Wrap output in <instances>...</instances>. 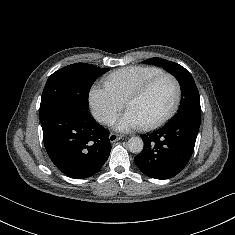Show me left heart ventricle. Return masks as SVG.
<instances>
[{
	"instance_id": "left-heart-ventricle-1",
	"label": "left heart ventricle",
	"mask_w": 235,
	"mask_h": 235,
	"mask_svg": "<svg viewBox=\"0 0 235 235\" xmlns=\"http://www.w3.org/2000/svg\"><path fill=\"white\" fill-rule=\"evenodd\" d=\"M175 99V86L170 79L159 80L142 98L130 103L131 110L142 125L161 118L171 108Z\"/></svg>"
}]
</instances>
